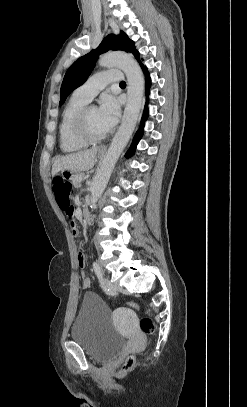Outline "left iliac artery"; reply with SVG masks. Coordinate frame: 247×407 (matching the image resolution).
I'll return each instance as SVG.
<instances>
[{
	"label": "left iliac artery",
	"instance_id": "44dca946",
	"mask_svg": "<svg viewBox=\"0 0 247 407\" xmlns=\"http://www.w3.org/2000/svg\"><path fill=\"white\" fill-rule=\"evenodd\" d=\"M93 269H94V271H95L96 276L98 277V279H99V281H100L101 287L103 288V290H104L105 292H107L108 289H107V288L104 286V284H103V273H102V271H101L100 266H99L96 262H93Z\"/></svg>",
	"mask_w": 247,
	"mask_h": 407
}]
</instances>
